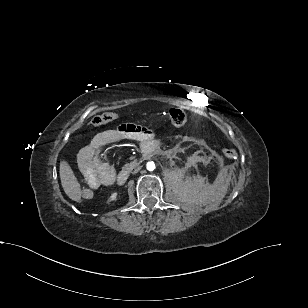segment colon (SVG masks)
<instances>
[{"mask_svg":"<svg viewBox=\"0 0 308 308\" xmlns=\"http://www.w3.org/2000/svg\"><path fill=\"white\" fill-rule=\"evenodd\" d=\"M118 118L116 113L107 112L95 116L91 124L94 126H100L112 122ZM168 120L172 126H182L187 121V114L183 109L171 108L168 113ZM224 156L228 159L236 157V151L232 148H226L223 150ZM95 190L91 186H85L81 191V198L84 200H90L94 197Z\"/></svg>","mask_w":308,"mask_h":308,"instance_id":"colon-1","label":"colon"}]
</instances>
